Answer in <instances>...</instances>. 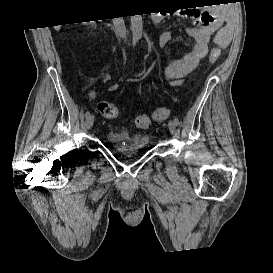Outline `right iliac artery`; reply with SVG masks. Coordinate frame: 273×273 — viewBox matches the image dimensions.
<instances>
[{"mask_svg": "<svg viewBox=\"0 0 273 273\" xmlns=\"http://www.w3.org/2000/svg\"><path fill=\"white\" fill-rule=\"evenodd\" d=\"M135 45V44H134ZM90 115V112L89 111H87L86 113H85V117H87V116H89Z\"/></svg>", "mask_w": 273, "mask_h": 273, "instance_id": "82829eb1", "label": "right iliac artery"}]
</instances>
